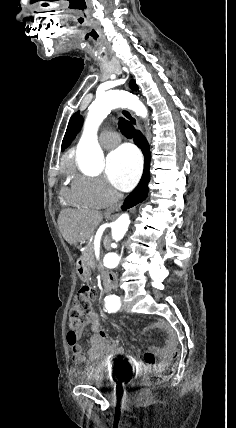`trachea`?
<instances>
[{
    "label": "trachea",
    "mask_w": 236,
    "mask_h": 428,
    "mask_svg": "<svg viewBox=\"0 0 236 428\" xmlns=\"http://www.w3.org/2000/svg\"><path fill=\"white\" fill-rule=\"evenodd\" d=\"M86 19L88 20L87 24L91 25L92 24V21L90 20L91 16L87 15ZM87 32L90 35L89 39H90V41H91V43L93 45V49L97 50L98 49V45L100 43L99 42V39H100L99 34L96 33L97 31L93 27L89 28ZM98 58L102 59L104 61L105 60L104 59L105 58V53L104 52H99L98 53ZM119 129L121 130L122 134L125 137H127V138H132L134 136V128H133V126L131 125V123L129 121L125 120L124 118H120L119 119Z\"/></svg>",
    "instance_id": "3493384b"
}]
</instances>
